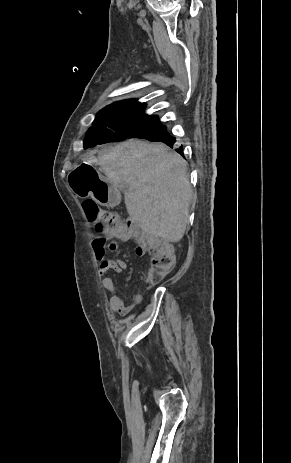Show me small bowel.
Here are the masks:
<instances>
[{"instance_id":"1","label":"small bowel","mask_w":291,"mask_h":463,"mask_svg":"<svg viewBox=\"0 0 291 463\" xmlns=\"http://www.w3.org/2000/svg\"><path fill=\"white\" fill-rule=\"evenodd\" d=\"M92 249L95 259L98 262V273L101 277L102 287L110 294L109 305L113 314L126 316L130 311L143 300L142 293H138L131 298L128 304H125L122 297L117 292V287L111 278V273L122 274L126 268V262L120 257L121 249L116 241L109 237L95 238L92 242ZM109 250L114 253L111 259L106 258L105 251ZM135 253L138 256L144 255V252L136 246Z\"/></svg>"}]
</instances>
